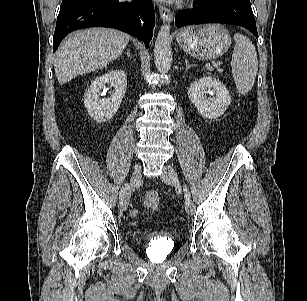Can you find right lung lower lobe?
Listing matches in <instances>:
<instances>
[{
  "mask_svg": "<svg viewBox=\"0 0 307 301\" xmlns=\"http://www.w3.org/2000/svg\"><path fill=\"white\" fill-rule=\"evenodd\" d=\"M155 25L150 0H62L54 32L53 51L71 31L110 27L144 41L148 46Z\"/></svg>",
  "mask_w": 307,
  "mask_h": 301,
  "instance_id": "1",
  "label": "right lung lower lobe"
}]
</instances>
